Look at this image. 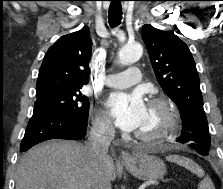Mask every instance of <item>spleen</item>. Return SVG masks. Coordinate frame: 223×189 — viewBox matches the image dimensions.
<instances>
[{"label":"spleen","mask_w":223,"mask_h":189,"mask_svg":"<svg viewBox=\"0 0 223 189\" xmlns=\"http://www.w3.org/2000/svg\"><path fill=\"white\" fill-rule=\"evenodd\" d=\"M166 160L170 162H174L178 164L179 166L185 167L193 174H196L198 177H203L205 175L204 170L198 164H196L193 160L189 158L178 156V155H171V156H167ZM198 189H215V188L211 179L208 176H206L203 179V181L200 182V184L198 185Z\"/></svg>","instance_id":"3e777b00"}]
</instances>
